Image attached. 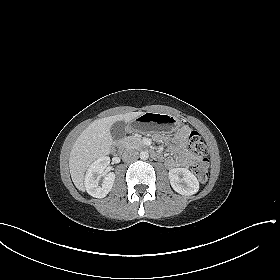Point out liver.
Wrapping results in <instances>:
<instances>
[{"instance_id":"6515ba94","label":"liver","mask_w":280,"mask_h":280,"mask_svg":"<svg viewBox=\"0 0 280 280\" xmlns=\"http://www.w3.org/2000/svg\"><path fill=\"white\" fill-rule=\"evenodd\" d=\"M144 112H129L93 121L74 142L69 157L72 181L77 189L84 191V175L90 164L110 153L113 138L110 128L117 121H132Z\"/></svg>"}]
</instances>
